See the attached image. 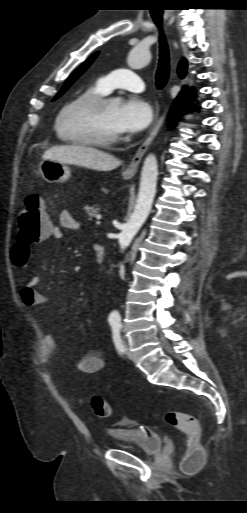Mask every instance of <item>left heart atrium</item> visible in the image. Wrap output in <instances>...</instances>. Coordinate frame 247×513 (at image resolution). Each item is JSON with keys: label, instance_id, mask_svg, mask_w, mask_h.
Instances as JSON below:
<instances>
[{"label": "left heart atrium", "instance_id": "1", "mask_svg": "<svg viewBox=\"0 0 247 513\" xmlns=\"http://www.w3.org/2000/svg\"><path fill=\"white\" fill-rule=\"evenodd\" d=\"M153 118L150 104L137 96H130L118 105L114 126L118 134L137 133L149 126Z\"/></svg>", "mask_w": 247, "mask_h": 513}]
</instances>
